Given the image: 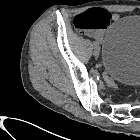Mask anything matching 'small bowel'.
<instances>
[{
  "label": "small bowel",
  "instance_id": "c3829d8e",
  "mask_svg": "<svg viewBox=\"0 0 140 140\" xmlns=\"http://www.w3.org/2000/svg\"><path fill=\"white\" fill-rule=\"evenodd\" d=\"M107 13L109 14L110 19H112V20L116 21V20L119 19V15L118 14H110L109 12H107ZM92 35L94 37L98 38V39H100V37H101V34L99 32H95Z\"/></svg>",
  "mask_w": 140,
  "mask_h": 140
}]
</instances>
